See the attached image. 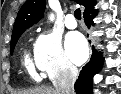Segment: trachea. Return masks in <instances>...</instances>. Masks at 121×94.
Wrapping results in <instances>:
<instances>
[{"mask_svg": "<svg viewBox=\"0 0 121 94\" xmlns=\"http://www.w3.org/2000/svg\"><path fill=\"white\" fill-rule=\"evenodd\" d=\"M74 16L77 20H81V10H80V8L75 10Z\"/></svg>", "mask_w": 121, "mask_h": 94, "instance_id": "obj_1", "label": "trachea"}]
</instances>
